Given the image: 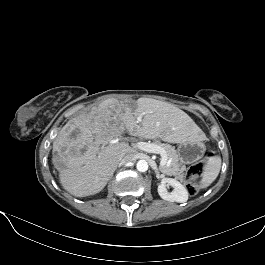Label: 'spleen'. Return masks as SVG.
Instances as JSON below:
<instances>
[{
    "instance_id": "obj_1",
    "label": "spleen",
    "mask_w": 265,
    "mask_h": 265,
    "mask_svg": "<svg viewBox=\"0 0 265 265\" xmlns=\"http://www.w3.org/2000/svg\"><path fill=\"white\" fill-rule=\"evenodd\" d=\"M221 169V157L211 156L204 168L202 173V179L200 181V187L206 188L212 184V182L217 178Z\"/></svg>"
}]
</instances>
